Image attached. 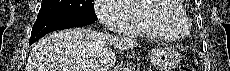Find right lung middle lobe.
I'll return each instance as SVG.
<instances>
[{
	"label": "right lung middle lobe",
	"instance_id": "obj_1",
	"mask_svg": "<svg viewBox=\"0 0 230 71\" xmlns=\"http://www.w3.org/2000/svg\"><path fill=\"white\" fill-rule=\"evenodd\" d=\"M94 0H43L38 18L50 16H88L97 18Z\"/></svg>",
	"mask_w": 230,
	"mask_h": 71
}]
</instances>
